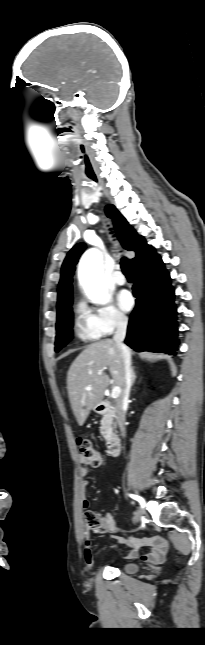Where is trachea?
<instances>
[{"label": "trachea", "instance_id": "1", "mask_svg": "<svg viewBox=\"0 0 205 645\" xmlns=\"http://www.w3.org/2000/svg\"><path fill=\"white\" fill-rule=\"evenodd\" d=\"M120 264H121V269H122V272L124 273V275H126V276H132L133 275L132 263H131V261L129 259H127L126 257H122Z\"/></svg>", "mask_w": 205, "mask_h": 645}]
</instances>
